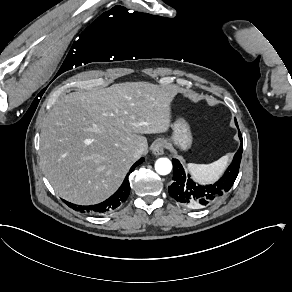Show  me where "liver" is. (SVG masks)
Returning a JSON list of instances; mask_svg holds the SVG:
<instances>
[{
    "mask_svg": "<svg viewBox=\"0 0 292 292\" xmlns=\"http://www.w3.org/2000/svg\"><path fill=\"white\" fill-rule=\"evenodd\" d=\"M174 90L147 82L66 95L41 128V168L57 195L95 204L113 194L137 160L141 135L168 133ZM95 130V131H93Z\"/></svg>",
    "mask_w": 292,
    "mask_h": 292,
    "instance_id": "obj_1",
    "label": "liver"
}]
</instances>
